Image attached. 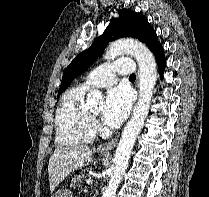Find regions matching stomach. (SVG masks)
I'll use <instances>...</instances> for the list:
<instances>
[{
	"instance_id": "stomach-1",
	"label": "stomach",
	"mask_w": 209,
	"mask_h": 197,
	"mask_svg": "<svg viewBox=\"0 0 209 197\" xmlns=\"http://www.w3.org/2000/svg\"><path fill=\"white\" fill-rule=\"evenodd\" d=\"M101 156H106L105 154H102ZM52 197H73L71 192L66 189L58 190Z\"/></svg>"
}]
</instances>
